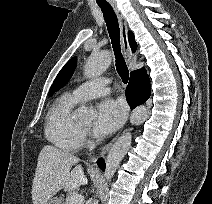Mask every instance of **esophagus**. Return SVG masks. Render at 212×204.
Wrapping results in <instances>:
<instances>
[{
	"mask_svg": "<svg viewBox=\"0 0 212 204\" xmlns=\"http://www.w3.org/2000/svg\"><path fill=\"white\" fill-rule=\"evenodd\" d=\"M113 9H114V11H115V13L117 15V18H118V21H119V25H120L121 43H122L124 56H125L126 62L130 63L131 60H132V52H131V48H130L129 41H128V25H127V21L124 18V16L122 15V13L116 7H113ZM119 134L112 141H110L106 146H104L101 149V151L98 154V156L91 157L90 160L92 162H95L98 157L104 156L109 151V149L111 148V146L113 145V143L115 142V140L117 139Z\"/></svg>",
	"mask_w": 212,
	"mask_h": 204,
	"instance_id": "34e87169",
	"label": "esophagus"
}]
</instances>
